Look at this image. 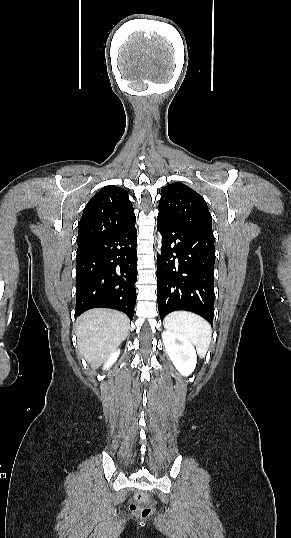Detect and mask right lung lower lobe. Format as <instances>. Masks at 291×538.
Returning <instances> with one entry per match:
<instances>
[{"mask_svg":"<svg viewBox=\"0 0 291 538\" xmlns=\"http://www.w3.org/2000/svg\"><path fill=\"white\" fill-rule=\"evenodd\" d=\"M137 230L134 225L78 246L75 315L97 307L133 318L137 281Z\"/></svg>","mask_w":291,"mask_h":538,"instance_id":"obj_1","label":"right lung lower lobe"}]
</instances>
